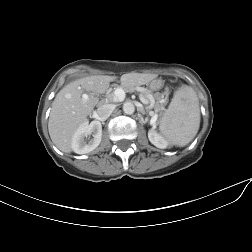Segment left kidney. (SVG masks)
<instances>
[{
    "label": "left kidney",
    "instance_id": "5707ae66",
    "mask_svg": "<svg viewBox=\"0 0 252 252\" xmlns=\"http://www.w3.org/2000/svg\"><path fill=\"white\" fill-rule=\"evenodd\" d=\"M148 138L149 141L156 147L160 148V149H165L168 147L169 143L168 141L162 137L160 134H158L154 127L149 130L148 132Z\"/></svg>",
    "mask_w": 252,
    "mask_h": 252
}]
</instances>
